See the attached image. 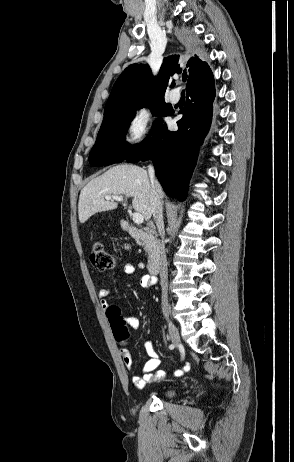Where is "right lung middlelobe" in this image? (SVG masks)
Returning <instances> with one entry per match:
<instances>
[{"label":"right lung middle lobe","mask_w":294,"mask_h":462,"mask_svg":"<svg viewBox=\"0 0 294 462\" xmlns=\"http://www.w3.org/2000/svg\"><path fill=\"white\" fill-rule=\"evenodd\" d=\"M189 40L193 44H196V40L192 36ZM145 106L150 107L152 113L158 117L168 115V104L164 102V99H149L125 112L104 118L97 135L96 143L89 155V162L92 165L105 166L122 162L141 147L143 142L133 146L129 145L126 142L125 134L130 125V121L134 118L136 110ZM162 123V118L156 119L152 125V133H154Z\"/></svg>","instance_id":"1"}]
</instances>
